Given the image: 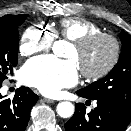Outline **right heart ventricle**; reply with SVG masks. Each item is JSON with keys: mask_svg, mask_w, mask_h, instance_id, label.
I'll use <instances>...</instances> for the list:
<instances>
[{"mask_svg": "<svg viewBox=\"0 0 131 131\" xmlns=\"http://www.w3.org/2000/svg\"><path fill=\"white\" fill-rule=\"evenodd\" d=\"M53 31L56 36L73 42L87 34L100 32L101 28L88 19L70 17L62 19Z\"/></svg>", "mask_w": 131, "mask_h": 131, "instance_id": "right-heart-ventricle-1", "label": "right heart ventricle"}]
</instances>
